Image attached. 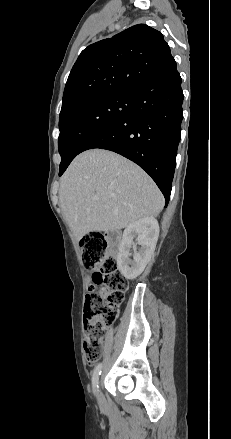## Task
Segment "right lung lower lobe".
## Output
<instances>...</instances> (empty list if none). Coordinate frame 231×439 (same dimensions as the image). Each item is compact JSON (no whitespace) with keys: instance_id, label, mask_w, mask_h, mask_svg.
Here are the masks:
<instances>
[{"instance_id":"right-lung-lower-lobe-1","label":"right lung lower lobe","mask_w":231,"mask_h":439,"mask_svg":"<svg viewBox=\"0 0 231 439\" xmlns=\"http://www.w3.org/2000/svg\"><path fill=\"white\" fill-rule=\"evenodd\" d=\"M133 95V109L96 132L79 153L100 148L132 160L152 177L167 205L183 119L184 96L176 65Z\"/></svg>"}]
</instances>
